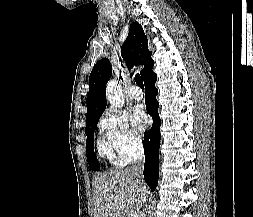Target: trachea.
Segmentation results:
<instances>
[{
	"instance_id": "obj_1",
	"label": "trachea",
	"mask_w": 253,
	"mask_h": 217,
	"mask_svg": "<svg viewBox=\"0 0 253 217\" xmlns=\"http://www.w3.org/2000/svg\"><path fill=\"white\" fill-rule=\"evenodd\" d=\"M135 82L136 84L141 88L144 89V84H143V80L142 77L139 74L135 75Z\"/></svg>"
}]
</instances>
